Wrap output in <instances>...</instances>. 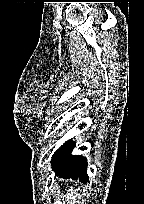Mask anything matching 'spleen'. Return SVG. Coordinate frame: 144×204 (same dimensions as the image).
<instances>
[{"label":"spleen","instance_id":"3e777b00","mask_svg":"<svg viewBox=\"0 0 144 204\" xmlns=\"http://www.w3.org/2000/svg\"><path fill=\"white\" fill-rule=\"evenodd\" d=\"M74 192L71 191V193L68 195V197H73Z\"/></svg>","mask_w":144,"mask_h":204}]
</instances>
